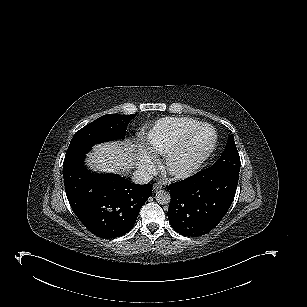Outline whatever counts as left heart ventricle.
<instances>
[{
	"mask_svg": "<svg viewBox=\"0 0 307 307\" xmlns=\"http://www.w3.org/2000/svg\"><path fill=\"white\" fill-rule=\"evenodd\" d=\"M200 142L194 139L190 145L183 146L170 162L172 168H186L191 166L198 156Z\"/></svg>",
	"mask_w": 307,
	"mask_h": 307,
	"instance_id": "1",
	"label": "left heart ventricle"
}]
</instances>
